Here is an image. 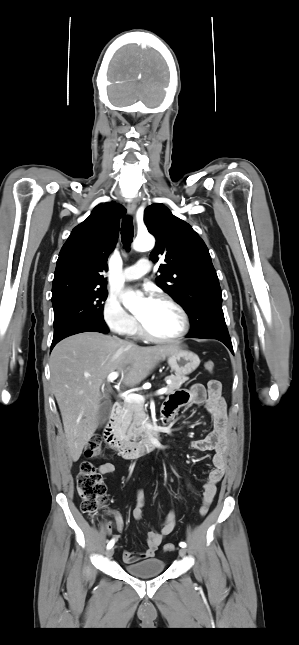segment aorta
<instances>
[{"instance_id": "obj_1", "label": "aorta", "mask_w": 299, "mask_h": 645, "mask_svg": "<svg viewBox=\"0 0 299 645\" xmlns=\"http://www.w3.org/2000/svg\"><path fill=\"white\" fill-rule=\"evenodd\" d=\"M154 245V238L151 235H144L137 236L134 241L133 247L136 251L144 252L153 249ZM122 301L124 306L127 307L131 312H134L140 305L138 298L133 293L124 295Z\"/></svg>"}]
</instances>
